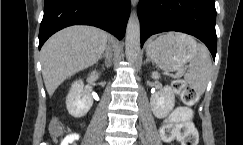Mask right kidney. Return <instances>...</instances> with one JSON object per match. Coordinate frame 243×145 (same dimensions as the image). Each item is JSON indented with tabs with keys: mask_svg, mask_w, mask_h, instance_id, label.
<instances>
[{
	"mask_svg": "<svg viewBox=\"0 0 243 145\" xmlns=\"http://www.w3.org/2000/svg\"><path fill=\"white\" fill-rule=\"evenodd\" d=\"M95 75V71L91 73ZM93 104L92 96L84 90L82 80L75 81L67 95L66 107L73 117L80 118L87 114Z\"/></svg>",
	"mask_w": 243,
	"mask_h": 145,
	"instance_id": "right-kidney-1",
	"label": "right kidney"
}]
</instances>
